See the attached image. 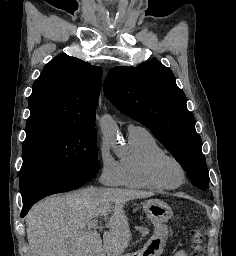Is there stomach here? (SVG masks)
<instances>
[{
	"label": "stomach",
	"mask_w": 236,
	"mask_h": 256,
	"mask_svg": "<svg viewBox=\"0 0 236 256\" xmlns=\"http://www.w3.org/2000/svg\"><path fill=\"white\" fill-rule=\"evenodd\" d=\"M143 209L154 225V233L141 250L126 256H160L165 247L168 238L166 222L173 214L171 208L162 200L151 199L143 203Z\"/></svg>",
	"instance_id": "1"
}]
</instances>
